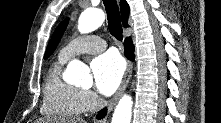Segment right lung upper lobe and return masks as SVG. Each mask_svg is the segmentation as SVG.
I'll use <instances>...</instances> for the list:
<instances>
[{
    "label": "right lung upper lobe",
    "instance_id": "cb5924a9",
    "mask_svg": "<svg viewBox=\"0 0 221 123\" xmlns=\"http://www.w3.org/2000/svg\"><path fill=\"white\" fill-rule=\"evenodd\" d=\"M120 7H121L122 23H123L124 27H128L129 6H128L126 0L120 1Z\"/></svg>",
    "mask_w": 221,
    "mask_h": 123
}]
</instances>
